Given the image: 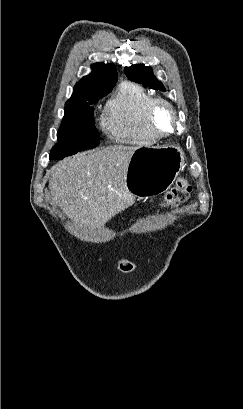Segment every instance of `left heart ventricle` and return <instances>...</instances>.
Instances as JSON below:
<instances>
[{"label":"left heart ventricle","instance_id":"left-heart-ventricle-1","mask_svg":"<svg viewBox=\"0 0 243 409\" xmlns=\"http://www.w3.org/2000/svg\"><path fill=\"white\" fill-rule=\"evenodd\" d=\"M155 124L159 131L167 132L173 127V119L168 109L160 107L155 115Z\"/></svg>","mask_w":243,"mask_h":409}]
</instances>
